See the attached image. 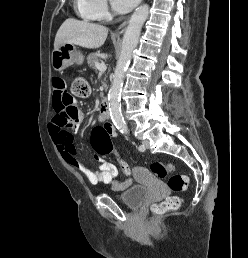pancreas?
I'll return each instance as SVG.
<instances>
[{"label": "pancreas", "mask_w": 248, "mask_h": 258, "mask_svg": "<svg viewBox=\"0 0 248 258\" xmlns=\"http://www.w3.org/2000/svg\"><path fill=\"white\" fill-rule=\"evenodd\" d=\"M98 56L94 53H91L87 56V63L89 65L90 68L92 69H96V62H98ZM104 86L106 87V85L104 84Z\"/></svg>", "instance_id": "1"}]
</instances>
